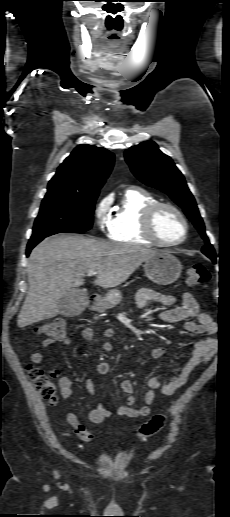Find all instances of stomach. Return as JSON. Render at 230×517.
Segmentation results:
<instances>
[{
  "label": "stomach",
  "instance_id": "obj_1",
  "mask_svg": "<svg viewBox=\"0 0 230 517\" xmlns=\"http://www.w3.org/2000/svg\"><path fill=\"white\" fill-rule=\"evenodd\" d=\"M143 270L148 280L158 285H169L177 281L182 271L180 261L168 252H157L143 263ZM121 300L117 289L107 292L103 297L100 308L103 310L116 306Z\"/></svg>",
  "mask_w": 230,
  "mask_h": 517
}]
</instances>
